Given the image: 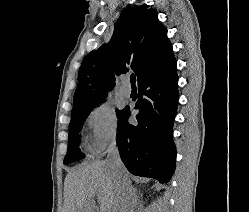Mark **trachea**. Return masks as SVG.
I'll list each match as a JSON object with an SVG mask.
<instances>
[{"instance_id":"trachea-1","label":"trachea","mask_w":249,"mask_h":212,"mask_svg":"<svg viewBox=\"0 0 249 212\" xmlns=\"http://www.w3.org/2000/svg\"><path fill=\"white\" fill-rule=\"evenodd\" d=\"M130 82H131V85H132V88H136V76L134 74L130 75Z\"/></svg>"}]
</instances>
